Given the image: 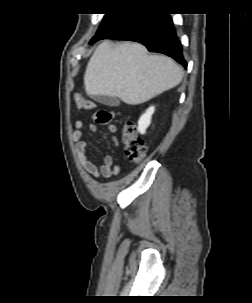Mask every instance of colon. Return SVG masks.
<instances>
[{
    "mask_svg": "<svg viewBox=\"0 0 252 303\" xmlns=\"http://www.w3.org/2000/svg\"><path fill=\"white\" fill-rule=\"evenodd\" d=\"M76 105L79 109H92L95 103L92 101H85L80 96L75 99ZM114 113L110 110L99 109L95 112L93 120L97 124L105 125L112 122ZM122 142L125 152L132 162H139L145 156V147L142 139L139 137L135 125L131 122L127 123L122 131Z\"/></svg>",
    "mask_w": 252,
    "mask_h": 303,
    "instance_id": "obj_1",
    "label": "colon"
}]
</instances>
